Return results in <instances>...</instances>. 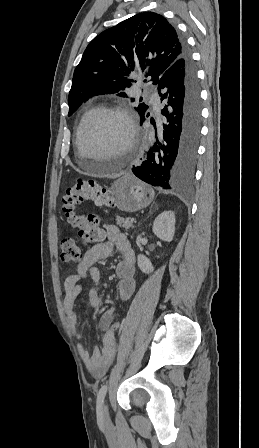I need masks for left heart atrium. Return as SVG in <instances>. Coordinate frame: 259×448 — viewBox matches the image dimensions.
Here are the masks:
<instances>
[{"label":"left heart atrium","mask_w":259,"mask_h":448,"mask_svg":"<svg viewBox=\"0 0 259 448\" xmlns=\"http://www.w3.org/2000/svg\"><path fill=\"white\" fill-rule=\"evenodd\" d=\"M146 155H147V158H148L149 160H151V159L153 158V153H152V151H147Z\"/></svg>","instance_id":"left-heart-atrium-1"}]
</instances>
